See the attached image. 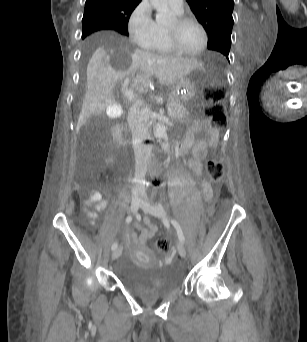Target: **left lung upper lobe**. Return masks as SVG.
I'll list each match as a JSON object with an SVG mask.
<instances>
[{"label":"left lung upper lobe","instance_id":"1","mask_svg":"<svg viewBox=\"0 0 307 342\" xmlns=\"http://www.w3.org/2000/svg\"><path fill=\"white\" fill-rule=\"evenodd\" d=\"M208 33V49L228 59L233 27V0H186Z\"/></svg>","mask_w":307,"mask_h":342}]
</instances>
